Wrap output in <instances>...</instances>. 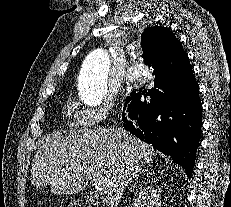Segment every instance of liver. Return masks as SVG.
I'll use <instances>...</instances> for the list:
<instances>
[{
	"label": "liver",
	"instance_id": "1",
	"mask_svg": "<svg viewBox=\"0 0 231 207\" xmlns=\"http://www.w3.org/2000/svg\"><path fill=\"white\" fill-rule=\"evenodd\" d=\"M157 151L124 128L55 133L40 142L31 166V183L56 195L83 191L101 181L102 201L117 207L126 186Z\"/></svg>",
	"mask_w": 231,
	"mask_h": 207
}]
</instances>
